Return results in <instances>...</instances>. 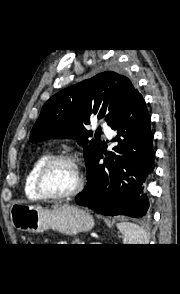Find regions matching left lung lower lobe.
Listing matches in <instances>:
<instances>
[{
  "instance_id": "1",
  "label": "left lung lower lobe",
  "mask_w": 180,
  "mask_h": 294,
  "mask_svg": "<svg viewBox=\"0 0 180 294\" xmlns=\"http://www.w3.org/2000/svg\"><path fill=\"white\" fill-rule=\"evenodd\" d=\"M151 118L138 92L110 125L117 143L108 154L100 148L87 168V184L76 197L79 205L103 215L143 217L149 201L143 183L154 169ZM104 164L99 160L104 158Z\"/></svg>"
}]
</instances>
